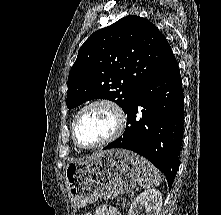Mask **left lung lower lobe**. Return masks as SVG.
Here are the masks:
<instances>
[{"label":"left lung lower lobe","instance_id":"0a47b994","mask_svg":"<svg viewBox=\"0 0 221 215\" xmlns=\"http://www.w3.org/2000/svg\"><path fill=\"white\" fill-rule=\"evenodd\" d=\"M126 114L123 136L104 149L124 148L142 155L164 173L171 188L183 135L182 82L172 50L138 90Z\"/></svg>","mask_w":221,"mask_h":215}]
</instances>
